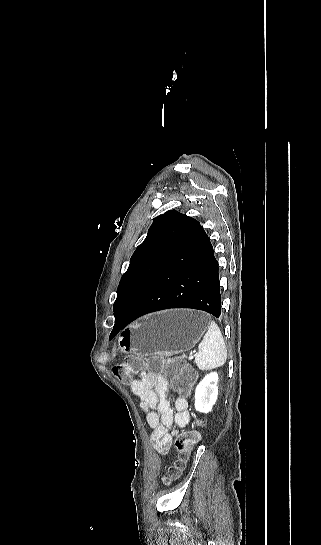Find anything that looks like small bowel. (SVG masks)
I'll list each match as a JSON object with an SVG mask.
<instances>
[{
	"label": "small bowel",
	"instance_id": "c3829d8e",
	"mask_svg": "<svg viewBox=\"0 0 321 545\" xmlns=\"http://www.w3.org/2000/svg\"><path fill=\"white\" fill-rule=\"evenodd\" d=\"M131 389L140 398L141 408L146 412L155 450L160 454H166L171 445L169 430L173 427L183 428L189 423L188 401L183 397L177 398L174 401V412L167 398L168 379L163 375L145 371L131 383Z\"/></svg>",
	"mask_w": 321,
	"mask_h": 545
}]
</instances>
